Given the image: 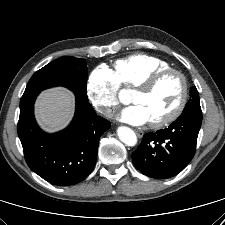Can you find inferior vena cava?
<instances>
[{
    "mask_svg": "<svg viewBox=\"0 0 225 225\" xmlns=\"http://www.w3.org/2000/svg\"><path fill=\"white\" fill-rule=\"evenodd\" d=\"M106 113L109 114L110 113V109H107Z\"/></svg>",
    "mask_w": 225,
    "mask_h": 225,
    "instance_id": "602c4592",
    "label": "inferior vena cava"
}]
</instances>
